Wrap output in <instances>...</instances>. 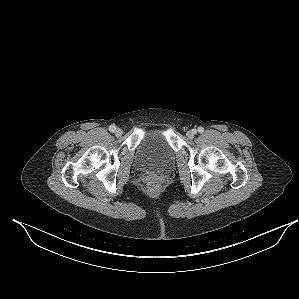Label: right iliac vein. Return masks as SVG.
<instances>
[{
    "mask_svg": "<svg viewBox=\"0 0 299 299\" xmlns=\"http://www.w3.org/2000/svg\"><path fill=\"white\" fill-rule=\"evenodd\" d=\"M122 134H123L122 129H120V128L116 129V131H115V135H116L117 137H120Z\"/></svg>",
    "mask_w": 299,
    "mask_h": 299,
    "instance_id": "obj_1",
    "label": "right iliac vein"
}]
</instances>
